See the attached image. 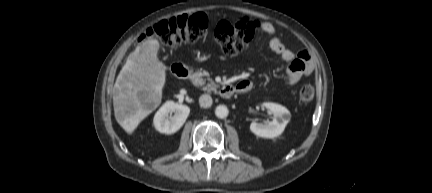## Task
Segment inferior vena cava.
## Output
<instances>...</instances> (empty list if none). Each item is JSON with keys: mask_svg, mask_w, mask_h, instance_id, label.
<instances>
[{"mask_svg": "<svg viewBox=\"0 0 432 193\" xmlns=\"http://www.w3.org/2000/svg\"><path fill=\"white\" fill-rule=\"evenodd\" d=\"M212 97L208 94H203L199 98V104L203 108H208L212 105Z\"/></svg>", "mask_w": 432, "mask_h": 193, "instance_id": "inferior-vena-cava-1", "label": "inferior vena cava"}]
</instances>
